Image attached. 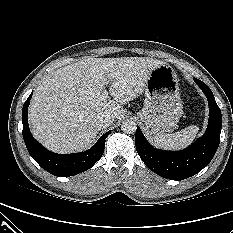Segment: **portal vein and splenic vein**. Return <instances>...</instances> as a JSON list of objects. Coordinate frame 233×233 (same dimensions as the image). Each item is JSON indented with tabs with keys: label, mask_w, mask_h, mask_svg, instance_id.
Returning a JSON list of instances; mask_svg holds the SVG:
<instances>
[{
	"label": "portal vein and splenic vein",
	"mask_w": 233,
	"mask_h": 233,
	"mask_svg": "<svg viewBox=\"0 0 233 233\" xmlns=\"http://www.w3.org/2000/svg\"><path fill=\"white\" fill-rule=\"evenodd\" d=\"M100 98L102 100H106L108 98V91L107 90H104L102 93H101V96Z\"/></svg>",
	"instance_id": "obj_1"
}]
</instances>
